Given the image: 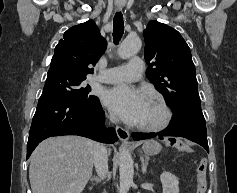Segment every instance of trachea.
<instances>
[{
    "instance_id": "trachea-1",
    "label": "trachea",
    "mask_w": 237,
    "mask_h": 193,
    "mask_svg": "<svg viewBox=\"0 0 237 193\" xmlns=\"http://www.w3.org/2000/svg\"><path fill=\"white\" fill-rule=\"evenodd\" d=\"M124 33V21L121 12H117L113 19V38L114 43L117 44Z\"/></svg>"
}]
</instances>
